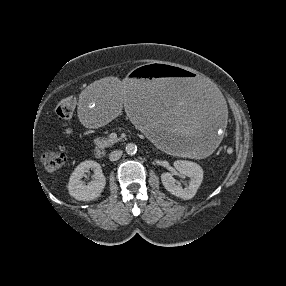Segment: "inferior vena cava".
<instances>
[{"mask_svg": "<svg viewBox=\"0 0 286 286\" xmlns=\"http://www.w3.org/2000/svg\"><path fill=\"white\" fill-rule=\"evenodd\" d=\"M121 156H122L121 150H114L110 153L109 159H110V161H117L120 159Z\"/></svg>", "mask_w": 286, "mask_h": 286, "instance_id": "obj_1", "label": "inferior vena cava"}]
</instances>
